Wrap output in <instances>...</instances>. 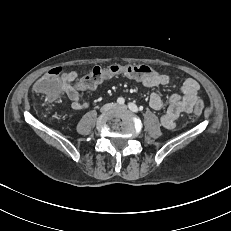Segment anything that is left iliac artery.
<instances>
[{
	"instance_id": "left-iliac-artery-1",
	"label": "left iliac artery",
	"mask_w": 231,
	"mask_h": 231,
	"mask_svg": "<svg viewBox=\"0 0 231 231\" xmlns=\"http://www.w3.org/2000/svg\"><path fill=\"white\" fill-rule=\"evenodd\" d=\"M128 107H129V109H130L131 111H133V112H135V113H137V112L139 111L137 105H135L134 103H129V104H128Z\"/></svg>"
}]
</instances>
